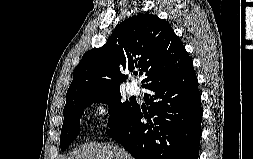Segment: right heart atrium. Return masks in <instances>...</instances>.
<instances>
[{"label": "right heart atrium", "mask_w": 253, "mask_h": 159, "mask_svg": "<svg viewBox=\"0 0 253 159\" xmlns=\"http://www.w3.org/2000/svg\"><path fill=\"white\" fill-rule=\"evenodd\" d=\"M93 114L95 120L100 126H105L111 116V107L105 100H98L93 105Z\"/></svg>", "instance_id": "d8ad5b80"}]
</instances>
